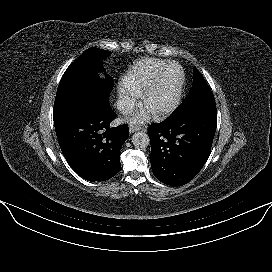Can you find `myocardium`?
<instances>
[{
    "label": "myocardium",
    "instance_id": "1",
    "mask_svg": "<svg viewBox=\"0 0 272 272\" xmlns=\"http://www.w3.org/2000/svg\"><path fill=\"white\" fill-rule=\"evenodd\" d=\"M171 67H177L180 71V79L176 88V93L173 101L166 107L154 112V114L157 117H165L172 112H174L182 99L183 91H184V86H185V72L182 68V66L177 63V62H169L165 67L161 69V71L157 74V76L154 78V80L143 90L142 95H141V101L143 104L146 105L147 100L151 96V94L155 91V89L160 85L162 82L165 74Z\"/></svg>",
    "mask_w": 272,
    "mask_h": 272
}]
</instances>
